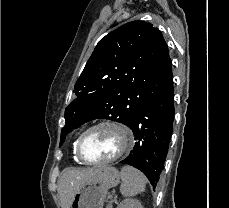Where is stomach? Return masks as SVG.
Listing matches in <instances>:
<instances>
[{
    "label": "stomach",
    "mask_w": 229,
    "mask_h": 208,
    "mask_svg": "<svg viewBox=\"0 0 229 208\" xmlns=\"http://www.w3.org/2000/svg\"><path fill=\"white\" fill-rule=\"evenodd\" d=\"M119 182L118 170L112 166H106L100 178H94L79 186L70 208H103L109 188H115Z\"/></svg>",
    "instance_id": "obj_1"
}]
</instances>
